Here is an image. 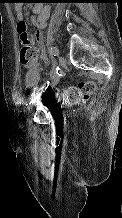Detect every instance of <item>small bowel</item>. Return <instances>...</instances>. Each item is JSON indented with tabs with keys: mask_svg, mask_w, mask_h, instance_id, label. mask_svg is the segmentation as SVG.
<instances>
[{
	"mask_svg": "<svg viewBox=\"0 0 122 218\" xmlns=\"http://www.w3.org/2000/svg\"><path fill=\"white\" fill-rule=\"evenodd\" d=\"M33 11L37 15V17L34 18L33 21L37 25L38 31L36 32L35 40L33 38L31 39V44L34 45L36 41L39 45V48L36 49L37 59L35 63L36 64L38 63L39 58H41L44 63H47V59L42 52V45H43V39H44L42 30L45 28L46 22L50 16L51 7L43 6L42 4H37L34 6ZM17 17L19 20H22L23 18L21 8L17 9Z\"/></svg>",
	"mask_w": 122,
	"mask_h": 218,
	"instance_id": "small-bowel-1",
	"label": "small bowel"
}]
</instances>
